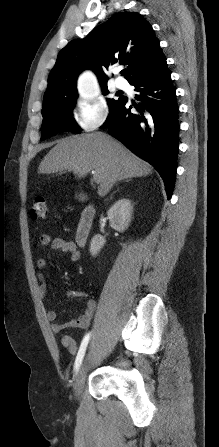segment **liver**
Wrapping results in <instances>:
<instances>
[{"instance_id": "1", "label": "liver", "mask_w": 219, "mask_h": 447, "mask_svg": "<svg viewBox=\"0 0 219 447\" xmlns=\"http://www.w3.org/2000/svg\"><path fill=\"white\" fill-rule=\"evenodd\" d=\"M73 171L78 178L94 171L98 194L105 196L120 180L147 176L152 167L121 143L102 132L76 135L58 140L41 161L38 173Z\"/></svg>"}]
</instances>
